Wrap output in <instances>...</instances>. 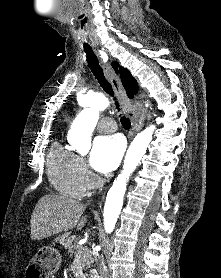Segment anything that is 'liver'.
<instances>
[{"label":"liver","instance_id":"6515ba94","mask_svg":"<svg viewBox=\"0 0 221 278\" xmlns=\"http://www.w3.org/2000/svg\"><path fill=\"white\" fill-rule=\"evenodd\" d=\"M86 205L69 197L47 194L41 197L31 215V239L41 240L68 231L77 226L81 230L86 222L82 217Z\"/></svg>","mask_w":221,"mask_h":278}]
</instances>
